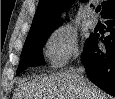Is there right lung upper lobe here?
I'll return each instance as SVG.
<instances>
[{
	"mask_svg": "<svg viewBox=\"0 0 115 99\" xmlns=\"http://www.w3.org/2000/svg\"><path fill=\"white\" fill-rule=\"evenodd\" d=\"M72 2L73 0H40L28 36L54 31L61 24V12L68 10ZM102 8L101 16L115 10V0L103 1Z\"/></svg>",
	"mask_w": 115,
	"mask_h": 99,
	"instance_id": "1",
	"label": "right lung upper lobe"
}]
</instances>
